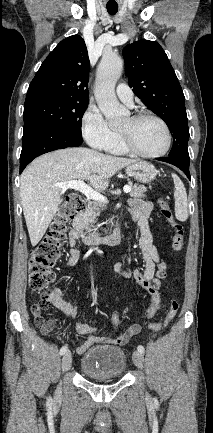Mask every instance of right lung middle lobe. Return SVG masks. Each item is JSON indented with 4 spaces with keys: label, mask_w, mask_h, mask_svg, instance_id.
Masks as SVG:
<instances>
[{
    "label": "right lung middle lobe",
    "mask_w": 213,
    "mask_h": 433,
    "mask_svg": "<svg viewBox=\"0 0 213 433\" xmlns=\"http://www.w3.org/2000/svg\"><path fill=\"white\" fill-rule=\"evenodd\" d=\"M87 107L88 99L51 95L28 97L24 105V122L43 121L82 139L81 119Z\"/></svg>",
    "instance_id": "right-lung-middle-lobe-1"
}]
</instances>
